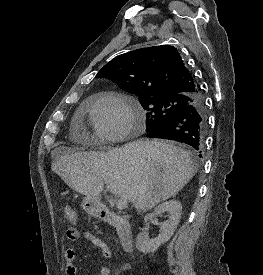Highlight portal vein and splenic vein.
Wrapping results in <instances>:
<instances>
[{
	"label": "portal vein and splenic vein",
	"instance_id": "18ae733b",
	"mask_svg": "<svg viewBox=\"0 0 263 275\" xmlns=\"http://www.w3.org/2000/svg\"><path fill=\"white\" fill-rule=\"evenodd\" d=\"M107 190H110V188L108 186H107ZM110 192H112V191L110 190ZM116 206H117L118 210L125 209L127 207V199L126 198H122V197L118 198Z\"/></svg>",
	"mask_w": 263,
	"mask_h": 275
}]
</instances>
